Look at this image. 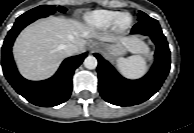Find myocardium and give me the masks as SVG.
I'll return each mask as SVG.
<instances>
[{
  "mask_svg": "<svg viewBox=\"0 0 194 133\" xmlns=\"http://www.w3.org/2000/svg\"><path fill=\"white\" fill-rule=\"evenodd\" d=\"M124 16H129V22L125 25L121 23V20ZM134 19L133 16L129 12H120L118 16L115 18L114 23H113V28L116 32L118 33H124L128 31L132 25H133Z\"/></svg>",
  "mask_w": 194,
  "mask_h": 133,
  "instance_id": "f54148a6",
  "label": "myocardium"
}]
</instances>
